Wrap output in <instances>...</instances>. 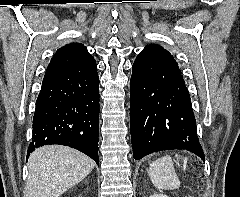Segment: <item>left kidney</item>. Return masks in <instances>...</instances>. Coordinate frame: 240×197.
Here are the masks:
<instances>
[{
  "label": "left kidney",
  "instance_id": "5707ae66",
  "mask_svg": "<svg viewBox=\"0 0 240 197\" xmlns=\"http://www.w3.org/2000/svg\"><path fill=\"white\" fill-rule=\"evenodd\" d=\"M149 197H168V196L165 194H161V193H154V194L150 195Z\"/></svg>",
  "mask_w": 240,
  "mask_h": 197
}]
</instances>
